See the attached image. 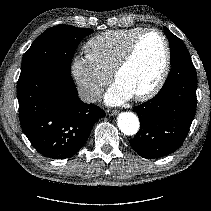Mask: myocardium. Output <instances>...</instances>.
Returning a JSON list of instances; mask_svg holds the SVG:
<instances>
[{
    "instance_id": "f54148a6",
    "label": "myocardium",
    "mask_w": 211,
    "mask_h": 211,
    "mask_svg": "<svg viewBox=\"0 0 211 211\" xmlns=\"http://www.w3.org/2000/svg\"><path fill=\"white\" fill-rule=\"evenodd\" d=\"M148 33H156L162 39V42H163V45H164V51H165L164 63H163V67H162V70L160 72V75L157 78L154 85L151 88H149L147 91L134 96V99L137 100V101H147V100H150L151 98H153L162 89L163 85L165 84V82L167 80V77H168L169 72H170V65H171V49H170L169 41H168L167 37L165 36V34L161 30H159L157 28H153V27L142 29L133 38V40L131 41V43H130L129 47L127 48L126 52L121 57V59L117 62V64L115 65V67L112 71V77L115 81H117V78L120 75V73L134 59L141 38Z\"/></svg>"
}]
</instances>
